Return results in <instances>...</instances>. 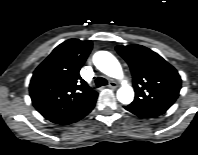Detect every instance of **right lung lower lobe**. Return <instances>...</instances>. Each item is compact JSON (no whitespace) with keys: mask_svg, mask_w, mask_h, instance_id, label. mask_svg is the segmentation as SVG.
Returning <instances> with one entry per match:
<instances>
[{"mask_svg":"<svg viewBox=\"0 0 198 155\" xmlns=\"http://www.w3.org/2000/svg\"><path fill=\"white\" fill-rule=\"evenodd\" d=\"M97 96L88 99L83 104H81L79 107H77L75 110H73L65 115H62V116H59L56 118H52L49 120L51 122L61 124V125H67V124L74 123V122L82 119L94 108L96 100H97Z\"/></svg>","mask_w":198,"mask_h":155,"instance_id":"obj_1","label":"right lung lower lobe"}]
</instances>
